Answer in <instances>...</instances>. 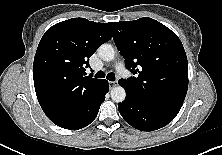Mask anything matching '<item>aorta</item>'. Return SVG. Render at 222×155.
Listing matches in <instances>:
<instances>
[{"label":"aorta","instance_id":"1","mask_svg":"<svg viewBox=\"0 0 222 155\" xmlns=\"http://www.w3.org/2000/svg\"><path fill=\"white\" fill-rule=\"evenodd\" d=\"M98 54L100 58L104 61H111L115 57V50L112 45L104 43L98 48ZM126 92L123 87L115 86L111 90V98L114 102L124 101Z\"/></svg>","mask_w":222,"mask_h":155}]
</instances>
